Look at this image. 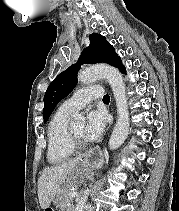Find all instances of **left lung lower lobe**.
I'll use <instances>...</instances> for the list:
<instances>
[{
  "label": "left lung lower lobe",
  "mask_w": 179,
  "mask_h": 211,
  "mask_svg": "<svg viewBox=\"0 0 179 211\" xmlns=\"http://www.w3.org/2000/svg\"><path fill=\"white\" fill-rule=\"evenodd\" d=\"M116 67L119 68L122 72L125 73V67H124V65L122 64L121 61H119V62L117 63Z\"/></svg>",
  "instance_id": "obj_1"
}]
</instances>
